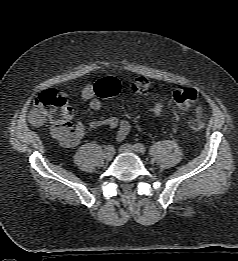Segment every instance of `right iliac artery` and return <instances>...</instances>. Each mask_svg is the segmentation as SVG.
<instances>
[{
    "label": "right iliac artery",
    "instance_id": "1",
    "mask_svg": "<svg viewBox=\"0 0 238 261\" xmlns=\"http://www.w3.org/2000/svg\"><path fill=\"white\" fill-rule=\"evenodd\" d=\"M114 149H115V146H114V145L108 144V145L106 146V151H107L108 153H111Z\"/></svg>",
    "mask_w": 238,
    "mask_h": 261
}]
</instances>
